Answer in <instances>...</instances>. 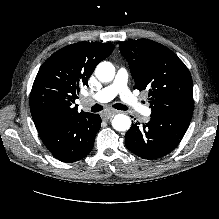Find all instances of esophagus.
Instances as JSON below:
<instances>
[{
  "label": "esophagus",
  "instance_id": "obj_1",
  "mask_svg": "<svg viewBox=\"0 0 219 219\" xmlns=\"http://www.w3.org/2000/svg\"><path fill=\"white\" fill-rule=\"evenodd\" d=\"M119 111L116 109H111L109 112L103 116V120L107 121L110 117H112L115 113H118Z\"/></svg>",
  "mask_w": 219,
  "mask_h": 219
}]
</instances>
